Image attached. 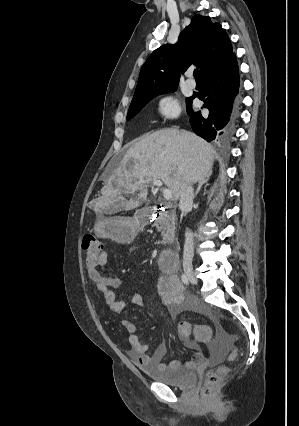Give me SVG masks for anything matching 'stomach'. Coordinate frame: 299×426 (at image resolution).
I'll use <instances>...</instances> for the list:
<instances>
[{
    "label": "stomach",
    "mask_w": 299,
    "mask_h": 426,
    "mask_svg": "<svg viewBox=\"0 0 299 426\" xmlns=\"http://www.w3.org/2000/svg\"><path fill=\"white\" fill-rule=\"evenodd\" d=\"M93 231L98 238L126 243L135 237L137 228L130 218L102 216L97 218Z\"/></svg>",
    "instance_id": "0dacf381"
}]
</instances>
